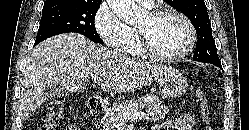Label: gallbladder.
<instances>
[{
	"mask_svg": "<svg viewBox=\"0 0 249 130\" xmlns=\"http://www.w3.org/2000/svg\"><path fill=\"white\" fill-rule=\"evenodd\" d=\"M45 94L47 97L65 96L67 94V90L59 85L49 86L46 88Z\"/></svg>",
	"mask_w": 249,
	"mask_h": 130,
	"instance_id": "1",
	"label": "gallbladder"
}]
</instances>
